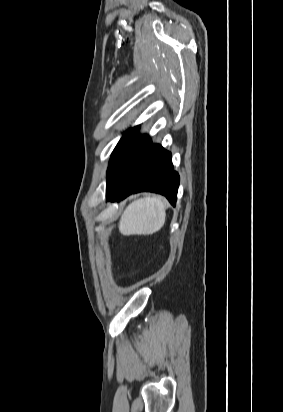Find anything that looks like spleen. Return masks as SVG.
<instances>
[{
    "instance_id": "3e777b00",
    "label": "spleen",
    "mask_w": 283,
    "mask_h": 412,
    "mask_svg": "<svg viewBox=\"0 0 283 412\" xmlns=\"http://www.w3.org/2000/svg\"><path fill=\"white\" fill-rule=\"evenodd\" d=\"M165 220V205L161 198L145 197L126 207L119 222V231L126 236L151 235L163 227Z\"/></svg>"
}]
</instances>
